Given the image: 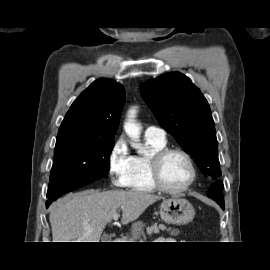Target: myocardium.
Returning <instances> with one entry per match:
<instances>
[{"label":"myocardium","instance_id":"myocardium-1","mask_svg":"<svg viewBox=\"0 0 270 270\" xmlns=\"http://www.w3.org/2000/svg\"><path fill=\"white\" fill-rule=\"evenodd\" d=\"M172 153L181 154L188 162L191 170V177L189 181L179 188H170L166 186L161 177V163L166 156ZM148 171L153 186L156 189L169 194H180L187 191L197 179V168L192 156L186 150L179 147H164L152 153L148 162Z\"/></svg>","mask_w":270,"mask_h":270}]
</instances>
